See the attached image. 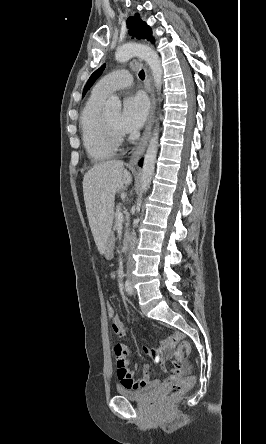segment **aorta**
Here are the masks:
<instances>
[{"label": "aorta", "instance_id": "762f6f07", "mask_svg": "<svg viewBox=\"0 0 266 444\" xmlns=\"http://www.w3.org/2000/svg\"><path fill=\"white\" fill-rule=\"evenodd\" d=\"M132 57H139L147 62L149 65L154 85L157 92H160L162 85V65L159 55L151 47L136 43H129L119 47L115 52V59L118 62H125ZM105 110L110 113L119 114L121 112V101L113 95L105 103ZM158 138L159 128L156 125L152 137L149 141V145L145 154L143 168L141 173V192L144 193L148 190L151 184V180L154 174L155 162L158 152Z\"/></svg>", "mask_w": 266, "mask_h": 444}]
</instances>
